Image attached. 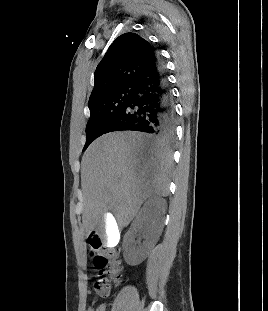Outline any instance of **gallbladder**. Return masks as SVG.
<instances>
[{
    "instance_id": "obj_1",
    "label": "gallbladder",
    "mask_w": 268,
    "mask_h": 311,
    "mask_svg": "<svg viewBox=\"0 0 268 311\" xmlns=\"http://www.w3.org/2000/svg\"><path fill=\"white\" fill-rule=\"evenodd\" d=\"M102 219H99L100 226V237L102 239V246H106L111 249L113 246H117L118 239H120L121 234L119 232V227H116V222L113 219L112 210L106 209Z\"/></svg>"
}]
</instances>
